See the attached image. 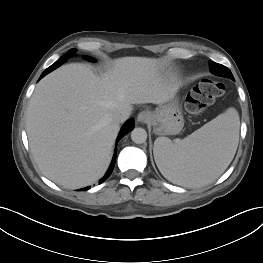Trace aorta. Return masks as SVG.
I'll list each match as a JSON object with an SVG mask.
<instances>
[{
	"instance_id": "762f6f07",
	"label": "aorta",
	"mask_w": 263,
	"mask_h": 263,
	"mask_svg": "<svg viewBox=\"0 0 263 263\" xmlns=\"http://www.w3.org/2000/svg\"><path fill=\"white\" fill-rule=\"evenodd\" d=\"M131 139L136 144H142L147 139V132L143 128H134L131 132Z\"/></svg>"
}]
</instances>
